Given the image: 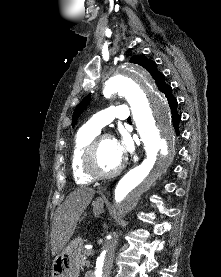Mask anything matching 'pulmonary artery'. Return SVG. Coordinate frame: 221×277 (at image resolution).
<instances>
[{"label": "pulmonary artery", "instance_id": "obj_1", "mask_svg": "<svg viewBox=\"0 0 221 277\" xmlns=\"http://www.w3.org/2000/svg\"><path fill=\"white\" fill-rule=\"evenodd\" d=\"M129 117L130 112L127 105H113L95 114L86 122L85 127L100 132L104 126L113 120H127Z\"/></svg>", "mask_w": 221, "mask_h": 277}]
</instances>
